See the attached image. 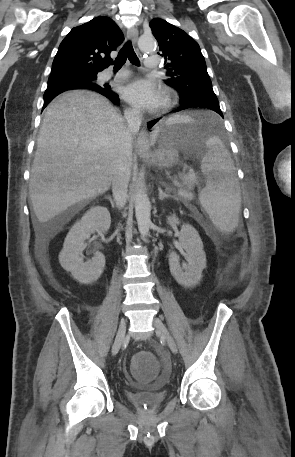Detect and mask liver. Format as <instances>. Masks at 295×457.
<instances>
[{"label":"liver","instance_id":"1","mask_svg":"<svg viewBox=\"0 0 295 457\" xmlns=\"http://www.w3.org/2000/svg\"><path fill=\"white\" fill-rule=\"evenodd\" d=\"M133 134L103 96L84 90L51 102L37 139L29 196L39 222L105 193L116 164L131 169Z\"/></svg>","mask_w":295,"mask_h":457}]
</instances>
